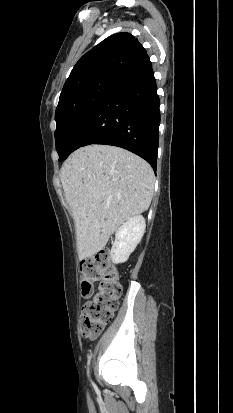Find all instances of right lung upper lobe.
<instances>
[{
  "label": "right lung upper lobe",
  "mask_w": 233,
  "mask_h": 413,
  "mask_svg": "<svg viewBox=\"0 0 233 413\" xmlns=\"http://www.w3.org/2000/svg\"><path fill=\"white\" fill-rule=\"evenodd\" d=\"M147 55L138 40L129 33H117L99 43L76 63L60 97L100 77L117 78Z\"/></svg>",
  "instance_id": "obj_1"
}]
</instances>
